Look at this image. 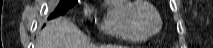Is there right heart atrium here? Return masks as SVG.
I'll return each instance as SVG.
<instances>
[{
    "mask_svg": "<svg viewBox=\"0 0 213 48\" xmlns=\"http://www.w3.org/2000/svg\"><path fill=\"white\" fill-rule=\"evenodd\" d=\"M85 12H86V13H89V9H85Z\"/></svg>",
    "mask_w": 213,
    "mask_h": 48,
    "instance_id": "obj_1",
    "label": "right heart atrium"
}]
</instances>
